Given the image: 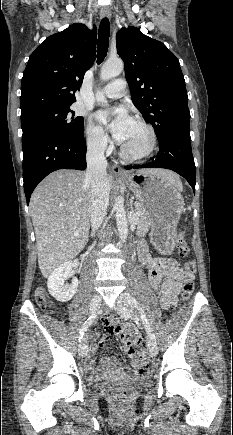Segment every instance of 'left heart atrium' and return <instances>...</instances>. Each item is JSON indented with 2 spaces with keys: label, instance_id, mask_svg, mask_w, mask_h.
Here are the masks:
<instances>
[{
  "label": "left heart atrium",
  "instance_id": "obj_1",
  "mask_svg": "<svg viewBox=\"0 0 233 435\" xmlns=\"http://www.w3.org/2000/svg\"><path fill=\"white\" fill-rule=\"evenodd\" d=\"M95 119L99 124L105 125L110 130L114 140L119 144H122L124 141L128 129L133 122V119L123 106L113 110L98 111L95 114Z\"/></svg>",
  "mask_w": 233,
  "mask_h": 435
}]
</instances>
